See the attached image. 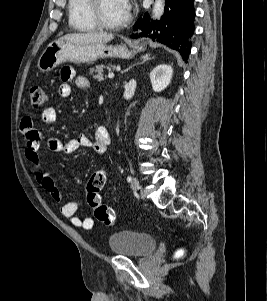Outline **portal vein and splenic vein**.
Returning a JSON list of instances; mask_svg holds the SVG:
<instances>
[{
    "instance_id": "18ae733b",
    "label": "portal vein and splenic vein",
    "mask_w": 267,
    "mask_h": 301,
    "mask_svg": "<svg viewBox=\"0 0 267 301\" xmlns=\"http://www.w3.org/2000/svg\"><path fill=\"white\" fill-rule=\"evenodd\" d=\"M114 77V72H112V71H110L109 73H108V78H113Z\"/></svg>"
}]
</instances>
